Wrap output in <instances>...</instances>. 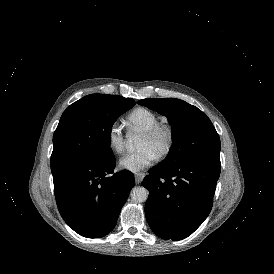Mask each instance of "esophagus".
<instances>
[{"instance_id": "1", "label": "esophagus", "mask_w": 274, "mask_h": 274, "mask_svg": "<svg viewBox=\"0 0 274 274\" xmlns=\"http://www.w3.org/2000/svg\"><path fill=\"white\" fill-rule=\"evenodd\" d=\"M134 177H135V182H136V184H139V183H141V181H142L143 178L145 177V174H144V173H136V174L134 175Z\"/></svg>"}]
</instances>
